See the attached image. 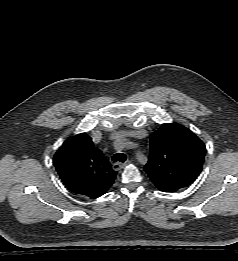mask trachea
<instances>
[{"instance_id": "obj_1", "label": "trachea", "mask_w": 238, "mask_h": 261, "mask_svg": "<svg viewBox=\"0 0 238 261\" xmlns=\"http://www.w3.org/2000/svg\"><path fill=\"white\" fill-rule=\"evenodd\" d=\"M126 160V155L124 153H116L112 157L113 162H124Z\"/></svg>"}]
</instances>
